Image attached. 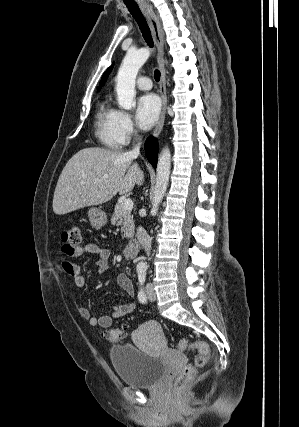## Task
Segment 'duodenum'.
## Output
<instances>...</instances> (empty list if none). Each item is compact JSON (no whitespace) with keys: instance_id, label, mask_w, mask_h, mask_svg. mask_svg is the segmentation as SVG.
<instances>
[{"instance_id":"duodenum-1","label":"duodenum","mask_w":299,"mask_h":427,"mask_svg":"<svg viewBox=\"0 0 299 427\" xmlns=\"http://www.w3.org/2000/svg\"><path fill=\"white\" fill-rule=\"evenodd\" d=\"M139 249V243L137 240L130 241L123 250V256L127 259H132L136 256Z\"/></svg>"}]
</instances>
